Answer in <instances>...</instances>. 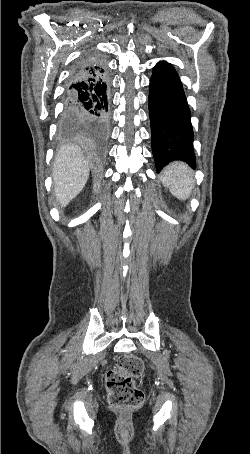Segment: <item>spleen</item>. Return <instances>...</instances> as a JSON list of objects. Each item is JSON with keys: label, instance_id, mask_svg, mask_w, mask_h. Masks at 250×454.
Instances as JSON below:
<instances>
[{"label": "spleen", "instance_id": "3e777b00", "mask_svg": "<svg viewBox=\"0 0 250 454\" xmlns=\"http://www.w3.org/2000/svg\"><path fill=\"white\" fill-rule=\"evenodd\" d=\"M162 183L169 187L172 195L185 200L190 196L193 188V173L189 167L181 162L170 164L162 174Z\"/></svg>", "mask_w": 250, "mask_h": 454}]
</instances>
